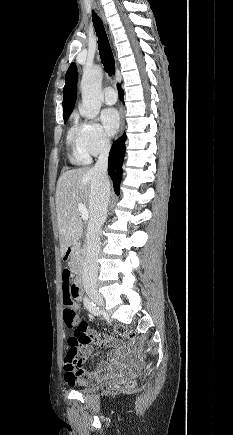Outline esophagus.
<instances>
[{
    "mask_svg": "<svg viewBox=\"0 0 233 435\" xmlns=\"http://www.w3.org/2000/svg\"><path fill=\"white\" fill-rule=\"evenodd\" d=\"M125 127V119H124V109H120V128H119V136L123 134Z\"/></svg>",
    "mask_w": 233,
    "mask_h": 435,
    "instance_id": "34e87169",
    "label": "esophagus"
}]
</instances>
